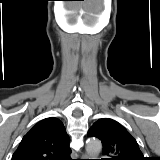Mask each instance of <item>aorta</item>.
I'll use <instances>...</instances> for the list:
<instances>
[{
	"label": "aorta",
	"instance_id": "aorta-1",
	"mask_svg": "<svg viewBox=\"0 0 160 160\" xmlns=\"http://www.w3.org/2000/svg\"><path fill=\"white\" fill-rule=\"evenodd\" d=\"M101 150H102V144L99 139L92 138L87 141L86 151L88 155L93 159L99 156Z\"/></svg>",
	"mask_w": 160,
	"mask_h": 160
}]
</instances>
